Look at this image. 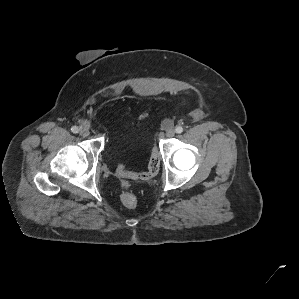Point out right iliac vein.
Segmentation results:
<instances>
[{
  "instance_id": "obj_1",
  "label": "right iliac vein",
  "mask_w": 299,
  "mask_h": 299,
  "mask_svg": "<svg viewBox=\"0 0 299 299\" xmlns=\"http://www.w3.org/2000/svg\"><path fill=\"white\" fill-rule=\"evenodd\" d=\"M79 134H80L82 137H87V136H89L90 132H89L88 129H80Z\"/></svg>"
}]
</instances>
